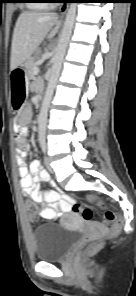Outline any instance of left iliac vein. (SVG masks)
<instances>
[{
	"label": "left iliac vein",
	"instance_id": "4c4485c4",
	"mask_svg": "<svg viewBox=\"0 0 136 296\" xmlns=\"http://www.w3.org/2000/svg\"><path fill=\"white\" fill-rule=\"evenodd\" d=\"M45 165H46V167L48 168V170L50 172H53L54 171L53 168L50 166V162H49V159L48 158H45Z\"/></svg>",
	"mask_w": 136,
	"mask_h": 296
}]
</instances>
